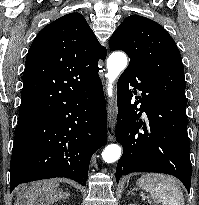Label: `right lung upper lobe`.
Here are the masks:
<instances>
[{
  "instance_id": "1",
  "label": "right lung upper lobe",
  "mask_w": 199,
  "mask_h": 205,
  "mask_svg": "<svg viewBox=\"0 0 199 205\" xmlns=\"http://www.w3.org/2000/svg\"><path fill=\"white\" fill-rule=\"evenodd\" d=\"M80 13H70L45 26L26 57L19 120H28L99 78L98 61L106 58Z\"/></svg>"
}]
</instances>
